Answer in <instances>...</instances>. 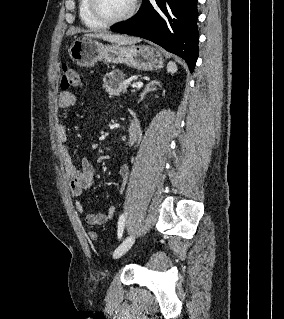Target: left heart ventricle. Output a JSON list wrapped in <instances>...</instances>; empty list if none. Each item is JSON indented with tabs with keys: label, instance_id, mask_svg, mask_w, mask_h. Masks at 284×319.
Listing matches in <instances>:
<instances>
[{
	"label": "left heart ventricle",
	"instance_id": "obj_1",
	"mask_svg": "<svg viewBox=\"0 0 284 319\" xmlns=\"http://www.w3.org/2000/svg\"><path fill=\"white\" fill-rule=\"evenodd\" d=\"M132 0H99L102 13L108 18H115L125 13Z\"/></svg>",
	"mask_w": 284,
	"mask_h": 319
}]
</instances>
